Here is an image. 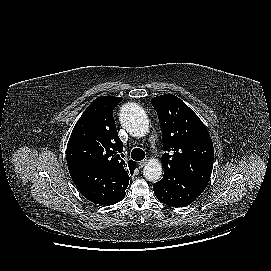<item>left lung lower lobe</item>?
<instances>
[{
  "instance_id": "obj_1",
  "label": "left lung lower lobe",
  "mask_w": 271,
  "mask_h": 271,
  "mask_svg": "<svg viewBox=\"0 0 271 271\" xmlns=\"http://www.w3.org/2000/svg\"><path fill=\"white\" fill-rule=\"evenodd\" d=\"M205 188L179 172L164 173L163 178L153 184L159 201L172 207L188 206Z\"/></svg>"
}]
</instances>
